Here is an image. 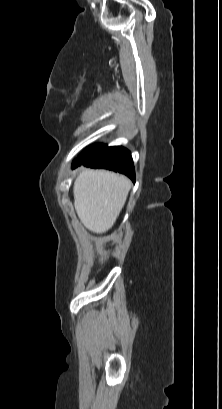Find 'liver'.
Masks as SVG:
<instances>
[{"label":"liver","instance_id":"1","mask_svg":"<svg viewBox=\"0 0 222 409\" xmlns=\"http://www.w3.org/2000/svg\"><path fill=\"white\" fill-rule=\"evenodd\" d=\"M131 181L106 170H82L74 182V206L82 224L101 234L112 228L125 205Z\"/></svg>","mask_w":222,"mask_h":409}]
</instances>
